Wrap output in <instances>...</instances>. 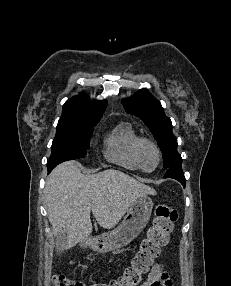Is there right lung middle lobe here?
Returning <instances> with one entry per match:
<instances>
[{
  "mask_svg": "<svg viewBox=\"0 0 231 286\" xmlns=\"http://www.w3.org/2000/svg\"><path fill=\"white\" fill-rule=\"evenodd\" d=\"M102 115H62L52 143V153L47 165H57L66 160L82 158L90 145L94 126Z\"/></svg>",
  "mask_w": 231,
  "mask_h": 286,
  "instance_id": "dd1d6c3e",
  "label": "right lung middle lobe"
}]
</instances>
